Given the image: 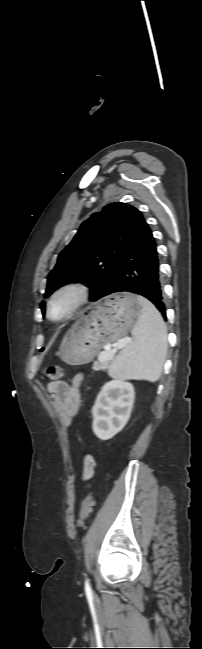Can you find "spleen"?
Listing matches in <instances>:
<instances>
[{
  "label": "spleen",
  "mask_w": 202,
  "mask_h": 649,
  "mask_svg": "<svg viewBox=\"0 0 202 649\" xmlns=\"http://www.w3.org/2000/svg\"><path fill=\"white\" fill-rule=\"evenodd\" d=\"M137 300L142 311L132 329L134 340L115 358L109 375L155 382L160 378L166 356L167 329L161 314L149 300L141 295Z\"/></svg>",
  "instance_id": "3e777b00"
}]
</instances>
